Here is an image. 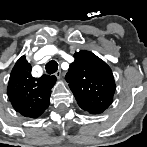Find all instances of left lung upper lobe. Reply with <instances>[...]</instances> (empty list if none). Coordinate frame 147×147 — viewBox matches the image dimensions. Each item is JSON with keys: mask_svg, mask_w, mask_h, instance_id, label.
Here are the masks:
<instances>
[{"mask_svg": "<svg viewBox=\"0 0 147 147\" xmlns=\"http://www.w3.org/2000/svg\"><path fill=\"white\" fill-rule=\"evenodd\" d=\"M74 57L66 81L84 111L101 114L113 101L116 85L112 71L92 52L81 50Z\"/></svg>", "mask_w": 147, "mask_h": 147, "instance_id": "1", "label": "left lung upper lobe"}]
</instances>
